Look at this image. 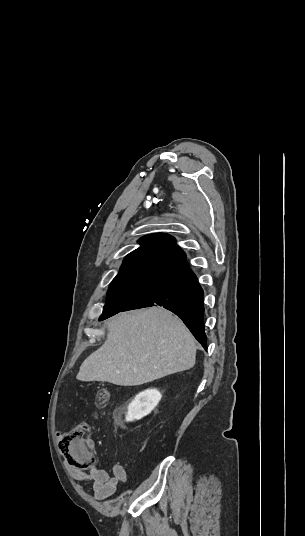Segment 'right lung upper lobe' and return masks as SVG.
Masks as SVG:
<instances>
[{"label":"right lung upper lobe","mask_w":305,"mask_h":536,"mask_svg":"<svg viewBox=\"0 0 305 536\" xmlns=\"http://www.w3.org/2000/svg\"><path fill=\"white\" fill-rule=\"evenodd\" d=\"M141 246L128 254L116 277H167L189 268L185 253L176 245L174 237L156 233L142 237Z\"/></svg>","instance_id":"obj_1"}]
</instances>
